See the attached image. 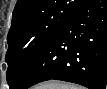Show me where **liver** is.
I'll return each instance as SVG.
<instances>
[{
    "mask_svg": "<svg viewBox=\"0 0 107 89\" xmlns=\"http://www.w3.org/2000/svg\"><path fill=\"white\" fill-rule=\"evenodd\" d=\"M60 84H62V83L49 82V83H45V84H41V85L37 86L36 89H57V87H59Z\"/></svg>",
    "mask_w": 107,
    "mask_h": 89,
    "instance_id": "1",
    "label": "liver"
}]
</instances>
